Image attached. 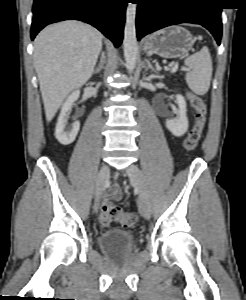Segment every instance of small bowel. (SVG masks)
<instances>
[{"mask_svg":"<svg viewBox=\"0 0 246 300\" xmlns=\"http://www.w3.org/2000/svg\"><path fill=\"white\" fill-rule=\"evenodd\" d=\"M121 197H122V192L120 191V189L118 187H113L107 195L108 199L114 198V199L119 200V199H121ZM99 221L104 226H107L110 223V220L104 216L102 211L99 215Z\"/></svg>","mask_w":246,"mask_h":300,"instance_id":"c3829d8e","label":"small bowel"}]
</instances>
